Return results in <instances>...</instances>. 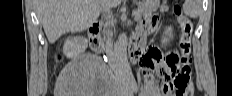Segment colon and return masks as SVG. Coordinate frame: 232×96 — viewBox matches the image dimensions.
I'll use <instances>...</instances> for the list:
<instances>
[{
  "label": "colon",
  "mask_w": 232,
  "mask_h": 96,
  "mask_svg": "<svg viewBox=\"0 0 232 96\" xmlns=\"http://www.w3.org/2000/svg\"><path fill=\"white\" fill-rule=\"evenodd\" d=\"M173 13L178 18L181 28V38L178 52L171 53L166 59V66L163 70L164 83L173 96H191L192 88L189 85V57L191 52V39L194 30L193 22L190 18L182 14L179 5H174ZM57 61L62 59V55H57Z\"/></svg>",
  "instance_id": "obj_1"
}]
</instances>
